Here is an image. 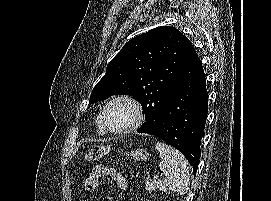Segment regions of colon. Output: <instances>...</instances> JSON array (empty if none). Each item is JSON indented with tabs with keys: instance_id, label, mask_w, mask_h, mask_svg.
<instances>
[{
	"instance_id": "5ec220e1",
	"label": "colon",
	"mask_w": 271,
	"mask_h": 201,
	"mask_svg": "<svg viewBox=\"0 0 271 201\" xmlns=\"http://www.w3.org/2000/svg\"><path fill=\"white\" fill-rule=\"evenodd\" d=\"M108 152L106 145H96L84 155V163L89 164L103 158Z\"/></svg>"
}]
</instances>
